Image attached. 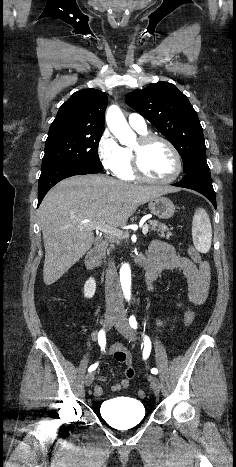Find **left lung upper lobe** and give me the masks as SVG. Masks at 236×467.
Instances as JSON below:
<instances>
[{
    "label": "left lung upper lobe",
    "mask_w": 236,
    "mask_h": 467,
    "mask_svg": "<svg viewBox=\"0 0 236 467\" xmlns=\"http://www.w3.org/2000/svg\"><path fill=\"white\" fill-rule=\"evenodd\" d=\"M126 103L149 120L176 148L184 172L206 165L202 127L188 98L173 84L158 82L130 92Z\"/></svg>",
    "instance_id": "left-lung-upper-lobe-1"
}]
</instances>
